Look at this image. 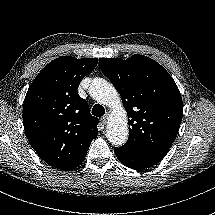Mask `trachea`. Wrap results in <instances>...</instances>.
Masks as SVG:
<instances>
[{
	"mask_svg": "<svg viewBox=\"0 0 215 215\" xmlns=\"http://www.w3.org/2000/svg\"><path fill=\"white\" fill-rule=\"evenodd\" d=\"M92 114L96 117H102L105 114V109L100 104H95L92 107Z\"/></svg>",
	"mask_w": 215,
	"mask_h": 215,
	"instance_id": "1",
	"label": "trachea"
}]
</instances>
